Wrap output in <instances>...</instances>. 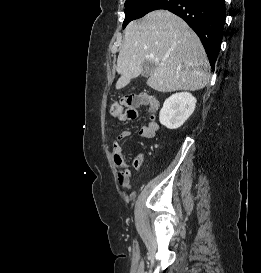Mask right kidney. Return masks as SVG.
Listing matches in <instances>:
<instances>
[{
	"instance_id": "ca27d5eb",
	"label": "right kidney",
	"mask_w": 261,
	"mask_h": 273,
	"mask_svg": "<svg viewBox=\"0 0 261 273\" xmlns=\"http://www.w3.org/2000/svg\"><path fill=\"white\" fill-rule=\"evenodd\" d=\"M196 98L189 92L175 93L167 98L159 114V121L168 129H177L192 115Z\"/></svg>"
}]
</instances>
